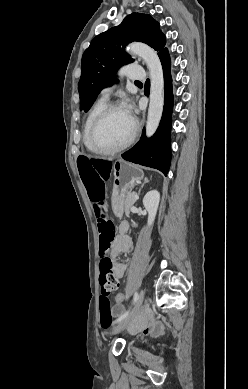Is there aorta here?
<instances>
[{"instance_id": "aorta-1", "label": "aorta", "mask_w": 248, "mask_h": 389, "mask_svg": "<svg viewBox=\"0 0 248 389\" xmlns=\"http://www.w3.org/2000/svg\"><path fill=\"white\" fill-rule=\"evenodd\" d=\"M128 49L144 59L150 72V102L146 122V135L151 137L161 120L164 105V77L157 52L143 43H132Z\"/></svg>"}]
</instances>
